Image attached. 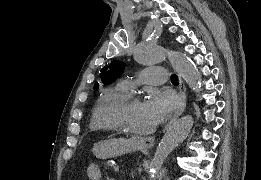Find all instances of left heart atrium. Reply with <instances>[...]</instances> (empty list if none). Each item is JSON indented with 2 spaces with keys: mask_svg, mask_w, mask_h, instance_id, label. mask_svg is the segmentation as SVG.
Masks as SVG:
<instances>
[{
  "mask_svg": "<svg viewBox=\"0 0 261 180\" xmlns=\"http://www.w3.org/2000/svg\"><path fill=\"white\" fill-rule=\"evenodd\" d=\"M179 105V97L170 89H154L145 101L146 108L156 122L171 115Z\"/></svg>",
  "mask_w": 261,
  "mask_h": 180,
  "instance_id": "1",
  "label": "left heart atrium"
}]
</instances>
